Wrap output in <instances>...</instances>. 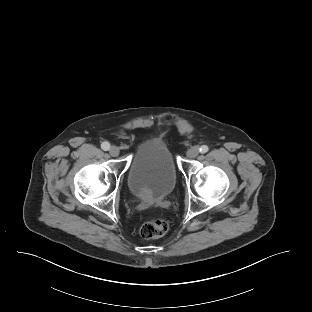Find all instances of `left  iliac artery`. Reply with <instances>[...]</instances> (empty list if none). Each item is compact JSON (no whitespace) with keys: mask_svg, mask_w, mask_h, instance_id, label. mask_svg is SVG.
<instances>
[{"mask_svg":"<svg viewBox=\"0 0 312 312\" xmlns=\"http://www.w3.org/2000/svg\"><path fill=\"white\" fill-rule=\"evenodd\" d=\"M209 148L207 145H202L200 148H199V151L200 153H206L208 152Z\"/></svg>","mask_w":312,"mask_h":312,"instance_id":"obj_1","label":"left iliac artery"}]
</instances>
